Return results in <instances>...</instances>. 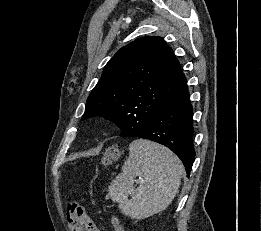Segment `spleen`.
I'll return each mask as SVG.
<instances>
[{
  "mask_svg": "<svg viewBox=\"0 0 261 231\" xmlns=\"http://www.w3.org/2000/svg\"><path fill=\"white\" fill-rule=\"evenodd\" d=\"M183 166L169 149L137 139L129 145V158L108 187V197L119 204L127 216L143 219L166 209L174 199L182 178ZM136 176L142 177L134 187ZM128 195L132 198L129 200Z\"/></svg>",
  "mask_w": 261,
  "mask_h": 231,
  "instance_id": "3e777b00",
  "label": "spleen"
}]
</instances>
